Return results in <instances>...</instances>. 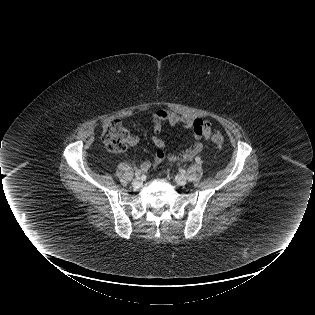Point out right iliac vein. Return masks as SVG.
<instances>
[{
	"instance_id": "obj_1",
	"label": "right iliac vein",
	"mask_w": 315,
	"mask_h": 315,
	"mask_svg": "<svg viewBox=\"0 0 315 315\" xmlns=\"http://www.w3.org/2000/svg\"><path fill=\"white\" fill-rule=\"evenodd\" d=\"M142 183H143V181H142V179H141L140 177H136V178H134L133 181H132V184H133L134 186H137V187L141 186Z\"/></svg>"
}]
</instances>
